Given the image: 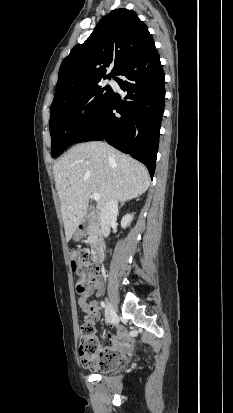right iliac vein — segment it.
Returning <instances> with one entry per match:
<instances>
[{"label":"right iliac vein","mask_w":233,"mask_h":413,"mask_svg":"<svg viewBox=\"0 0 233 413\" xmlns=\"http://www.w3.org/2000/svg\"><path fill=\"white\" fill-rule=\"evenodd\" d=\"M105 317L108 323H111L116 318V313L110 303H107V306L105 309Z\"/></svg>","instance_id":"right-iliac-vein-1"}]
</instances>
